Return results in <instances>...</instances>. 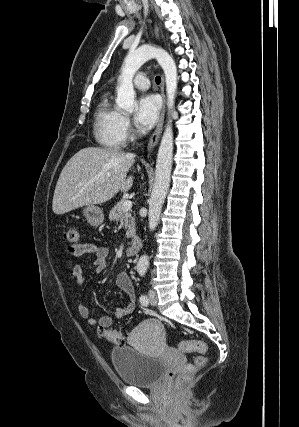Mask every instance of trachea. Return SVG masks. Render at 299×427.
<instances>
[{"mask_svg":"<svg viewBox=\"0 0 299 427\" xmlns=\"http://www.w3.org/2000/svg\"><path fill=\"white\" fill-rule=\"evenodd\" d=\"M155 81H156V83H160L161 82V78L159 77V76H157L156 78H155Z\"/></svg>","mask_w":299,"mask_h":427,"instance_id":"obj_1","label":"trachea"}]
</instances>
